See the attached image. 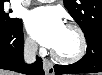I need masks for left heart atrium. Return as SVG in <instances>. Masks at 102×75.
<instances>
[{
  "label": "left heart atrium",
  "mask_w": 102,
  "mask_h": 75,
  "mask_svg": "<svg viewBox=\"0 0 102 75\" xmlns=\"http://www.w3.org/2000/svg\"><path fill=\"white\" fill-rule=\"evenodd\" d=\"M58 12L51 8H38L28 16L27 30L42 46L54 48L64 29Z\"/></svg>",
  "instance_id": "obj_1"
}]
</instances>
